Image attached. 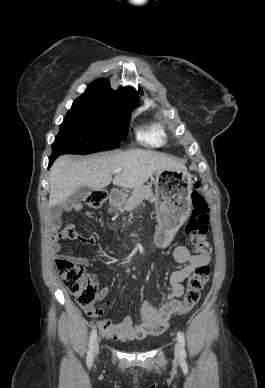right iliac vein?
<instances>
[{"label": "right iliac vein", "instance_id": "1", "mask_svg": "<svg viewBox=\"0 0 265 388\" xmlns=\"http://www.w3.org/2000/svg\"><path fill=\"white\" fill-rule=\"evenodd\" d=\"M93 351H94L95 355L97 356L98 353H99V343H98L97 339H96V341L94 343Z\"/></svg>", "mask_w": 265, "mask_h": 388}]
</instances>
